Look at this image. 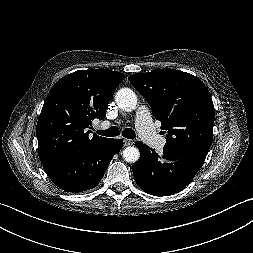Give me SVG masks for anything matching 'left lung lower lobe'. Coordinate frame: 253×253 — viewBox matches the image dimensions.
<instances>
[{"label": "left lung lower lobe", "instance_id": "left-lung-lower-lobe-1", "mask_svg": "<svg viewBox=\"0 0 253 253\" xmlns=\"http://www.w3.org/2000/svg\"><path fill=\"white\" fill-rule=\"evenodd\" d=\"M140 158L132 166L138 186L154 196L173 195L184 189L202 166L206 154L187 151L181 154L163 150L159 156L141 141L135 143Z\"/></svg>", "mask_w": 253, "mask_h": 253}]
</instances>
